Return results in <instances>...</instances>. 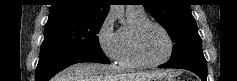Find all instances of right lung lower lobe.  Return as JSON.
I'll return each instance as SVG.
<instances>
[{
	"instance_id": "right-lung-lower-lobe-1",
	"label": "right lung lower lobe",
	"mask_w": 237,
	"mask_h": 81,
	"mask_svg": "<svg viewBox=\"0 0 237 81\" xmlns=\"http://www.w3.org/2000/svg\"><path fill=\"white\" fill-rule=\"evenodd\" d=\"M81 62L110 63L104 53L60 52L46 50L40 52V58L35 72V81H48L66 67Z\"/></svg>"
}]
</instances>
